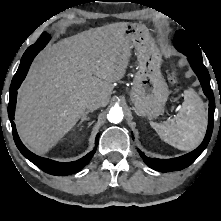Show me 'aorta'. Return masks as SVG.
<instances>
[{
  "instance_id": "aorta-1",
  "label": "aorta",
  "mask_w": 221,
  "mask_h": 221,
  "mask_svg": "<svg viewBox=\"0 0 221 221\" xmlns=\"http://www.w3.org/2000/svg\"><path fill=\"white\" fill-rule=\"evenodd\" d=\"M124 114L121 108L113 107L110 109L109 113L107 114V119L109 122L117 124L123 120Z\"/></svg>"
}]
</instances>
